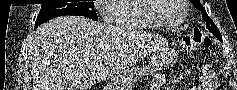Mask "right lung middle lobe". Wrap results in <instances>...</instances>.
<instances>
[{
    "label": "right lung middle lobe",
    "instance_id": "obj_1",
    "mask_svg": "<svg viewBox=\"0 0 237 90\" xmlns=\"http://www.w3.org/2000/svg\"><path fill=\"white\" fill-rule=\"evenodd\" d=\"M64 15H79L98 20L93 2L42 4L35 27L52 18Z\"/></svg>",
    "mask_w": 237,
    "mask_h": 90
}]
</instances>
